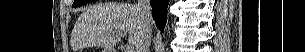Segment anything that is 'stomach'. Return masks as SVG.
<instances>
[{"label":"stomach","instance_id":"obj_1","mask_svg":"<svg viewBox=\"0 0 305 52\" xmlns=\"http://www.w3.org/2000/svg\"><path fill=\"white\" fill-rule=\"evenodd\" d=\"M104 52H112V51H111V50L106 49V51H104Z\"/></svg>","mask_w":305,"mask_h":52}]
</instances>
